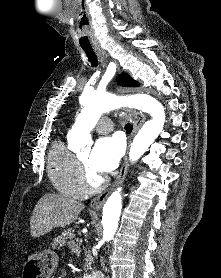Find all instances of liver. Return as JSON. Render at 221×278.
I'll list each match as a JSON object with an SVG mask.
<instances>
[{
	"label": "liver",
	"mask_w": 221,
	"mask_h": 278,
	"mask_svg": "<svg viewBox=\"0 0 221 278\" xmlns=\"http://www.w3.org/2000/svg\"><path fill=\"white\" fill-rule=\"evenodd\" d=\"M85 208L81 202L60 194H45L36 204L31 219V236L45 235L54 228L66 227Z\"/></svg>",
	"instance_id": "obj_1"
}]
</instances>
